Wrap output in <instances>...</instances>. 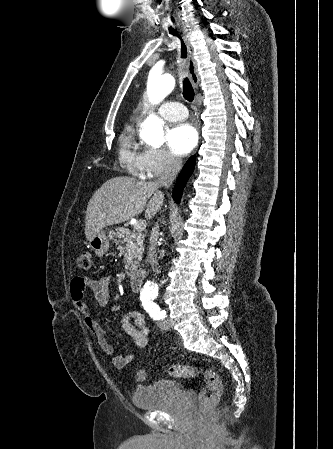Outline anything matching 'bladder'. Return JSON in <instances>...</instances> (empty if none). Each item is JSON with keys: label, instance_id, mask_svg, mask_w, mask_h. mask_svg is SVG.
Wrapping results in <instances>:
<instances>
[{"label": "bladder", "instance_id": "bladder-1", "mask_svg": "<svg viewBox=\"0 0 333 449\" xmlns=\"http://www.w3.org/2000/svg\"><path fill=\"white\" fill-rule=\"evenodd\" d=\"M181 393L179 382L161 380L150 385L137 386L133 391L132 402L141 410H157L172 406Z\"/></svg>", "mask_w": 333, "mask_h": 449}]
</instances>
